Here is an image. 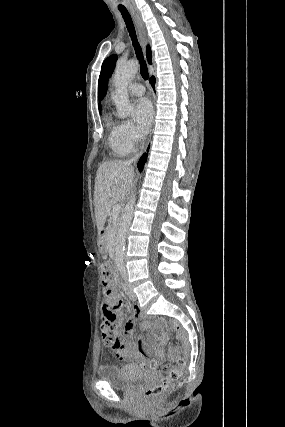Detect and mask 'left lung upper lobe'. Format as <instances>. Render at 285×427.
I'll return each mask as SVG.
<instances>
[{"instance_id": "5c2ea615", "label": "left lung upper lobe", "mask_w": 285, "mask_h": 427, "mask_svg": "<svg viewBox=\"0 0 285 427\" xmlns=\"http://www.w3.org/2000/svg\"><path fill=\"white\" fill-rule=\"evenodd\" d=\"M116 60H117V56L111 55L102 64L101 73L98 81V90H99V96L101 99L106 94L108 78L110 77V75L114 70Z\"/></svg>"}]
</instances>
